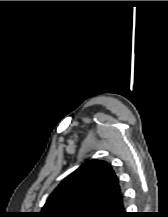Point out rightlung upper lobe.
<instances>
[{"label": "right lung upper lobe", "mask_w": 168, "mask_h": 217, "mask_svg": "<svg viewBox=\"0 0 168 217\" xmlns=\"http://www.w3.org/2000/svg\"><path fill=\"white\" fill-rule=\"evenodd\" d=\"M123 206L119 181L105 161L91 160L66 177L38 217H109Z\"/></svg>", "instance_id": "cb5924a9"}]
</instances>
